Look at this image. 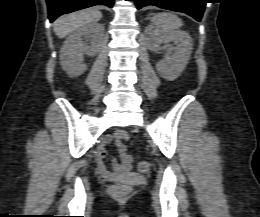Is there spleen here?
<instances>
[{
	"label": "spleen",
	"mask_w": 260,
	"mask_h": 217,
	"mask_svg": "<svg viewBox=\"0 0 260 217\" xmlns=\"http://www.w3.org/2000/svg\"><path fill=\"white\" fill-rule=\"evenodd\" d=\"M157 29L161 31H173L182 26V21L179 17L172 13H159L152 19Z\"/></svg>",
	"instance_id": "1"
}]
</instances>
